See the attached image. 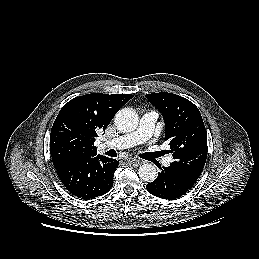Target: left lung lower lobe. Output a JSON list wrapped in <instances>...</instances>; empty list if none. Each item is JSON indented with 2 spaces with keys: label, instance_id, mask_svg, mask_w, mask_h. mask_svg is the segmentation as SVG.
Returning a JSON list of instances; mask_svg holds the SVG:
<instances>
[{
  "label": "left lung lower lobe",
  "instance_id": "obj_1",
  "mask_svg": "<svg viewBox=\"0 0 259 259\" xmlns=\"http://www.w3.org/2000/svg\"><path fill=\"white\" fill-rule=\"evenodd\" d=\"M161 170L158 177L146 185L147 191L154 196L174 200L185 195L196 183L172 165L163 167Z\"/></svg>",
  "mask_w": 259,
  "mask_h": 259
}]
</instances>
